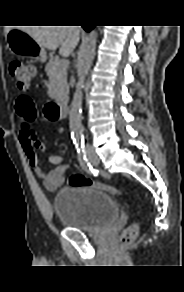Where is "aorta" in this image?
Masks as SVG:
<instances>
[{"label":"aorta","instance_id":"aorta-1","mask_svg":"<svg viewBox=\"0 0 184 292\" xmlns=\"http://www.w3.org/2000/svg\"><path fill=\"white\" fill-rule=\"evenodd\" d=\"M98 34L96 29L92 30L84 44L82 45L79 53V65H78V81L76 84V90L73 95L71 108H70V124L72 131L79 141V136L82 131L81 124V112H82V99H83V87L85 78L89 72L90 66L92 64L95 47L97 43Z\"/></svg>","mask_w":184,"mask_h":292}]
</instances>
